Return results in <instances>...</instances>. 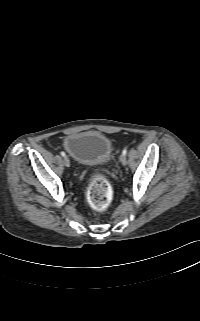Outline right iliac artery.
I'll use <instances>...</instances> for the list:
<instances>
[{
    "label": "right iliac artery",
    "mask_w": 200,
    "mask_h": 321,
    "mask_svg": "<svg viewBox=\"0 0 200 321\" xmlns=\"http://www.w3.org/2000/svg\"><path fill=\"white\" fill-rule=\"evenodd\" d=\"M61 156H63V157H64V156H65V152H63V151H62V152H61Z\"/></svg>",
    "instance_id": "obj_1"
}]
</instances>
